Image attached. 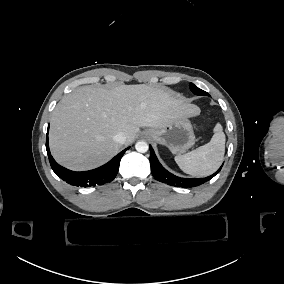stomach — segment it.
Returning <instances> with one entry per match:
<instances>
[{"instance_id": "0dacf381", "label": "stomach", "mask_w": 284, "mask_h": 284, "mask_svg": "<svg viewBox=\"0 0 284 284\" xmlns=\"http://www.w3.org/2000/svg\"><path fill=\"white\" fill-rule=\"evenodd\" d=\"M142 137L151 139L178 155L195 144L193 128L187 118L176 119L165 127L148 128L142 132Z\"/></svg>"}]
</instances>
